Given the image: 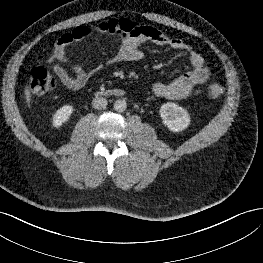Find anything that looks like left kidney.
<instances>
[{
    "label": "left kidney",
    "instance_id": "1",
    "mask_svg": "<svg viewBox=\"0 0 263 263\" xmlns=\"http://www.w3.org/2000/svg\"><path fill=\"white\" fill-rule=\"evenodd\" d=\"M159 112L164 125L167 126L170 131H182L190 124L188 112L175 103L169 102L163 104Z\"/></svg>",
    "mask_w": 263,
    "mask_h": 263
}]
</instances>
